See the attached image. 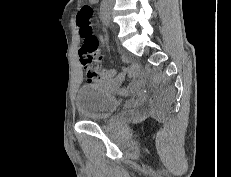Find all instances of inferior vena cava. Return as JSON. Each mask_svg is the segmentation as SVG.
Returning a JSON list of instances; mask_svg holds the SVG:
<instances>
[{
	"label": "inferior vena cava",
	"instance_id": "obj_1",
	"mask_svg": "<svg viewBox=\"0 0 231 177\" xmlns=\"http://www.w3.org/2000/svg\"><path fill=\"white\" fill-rule=\"evenodd\" d=\"M106 1H108V2H112L113 0H106Z\"/></svg>",
	"mask_w": 231,
	"mask_h": 177
}]
</instances>
